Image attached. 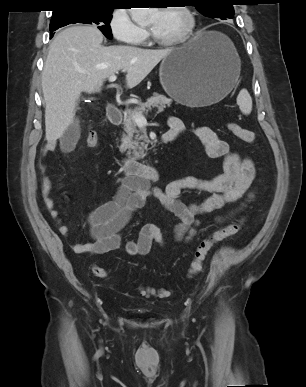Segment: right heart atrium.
I'll use <instances>...</instances> for the list:
<instances>
[{"instance_id": "1", "label": "right heart atrium", "mask_w": 306, "mask_h": 387, "mask_svg": "<svg viewBox=\"0 0 306 387\" xmlns=\"http://www.w3.org/2000/svg\"><path fill=\"white\" fill-rule=\"evenodd\" d=\"M109 29L119 43L139 45L147 38V31L131 17L128 9L117 8L111 13Z\"/></svg>"}]
</instances>
